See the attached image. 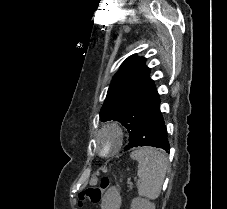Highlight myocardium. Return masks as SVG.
Returning a JSON list of instances; mask_svg holds the SVG:
<instances>
[{
	"instance_id": "f54148a6",
	"label": "myocardium",
	"mask_w": 227,
	"mask_h": 209,
	"mask_svg": "<svg viewBox=\"0 0 227 209\" xmlns=\"http://www.w3.org/2000/svg\"><path fill=\"white\" fill-rule=\"evenodd\" d=\"M111 130L115 133L116 135V144L113 148L107 150V151H101L97 145V139L100 134H102L105 131ZM125 138V132L123 127L116 121H106L102 123L93 133L92 136V144L94 147V150L97 154H99L102 157H107L110 155L115 154L118 152L124 142Z\"/></svg>"
}]
</instances>
